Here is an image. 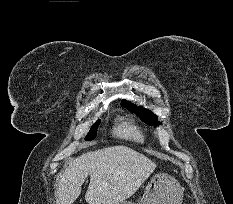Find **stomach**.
Returning <instances> with one entry per match:
<instances>
[{"label": "stomach", "instance_id": "stomach-1", "mask_svg": "<svg viewBox=\"0 0 233 204\" xmlns=\"http://www.w3.org/2000/svg\"><path fill=\"white\" fill-rule=\"evenodd\" d=\"M183 189L171 175L159 173L150 178L145 193L139 204H181ZM117 204H135L121 201Z\"/></svg>", "mask_w": 233, "mask_h": 204}]
</instances>
